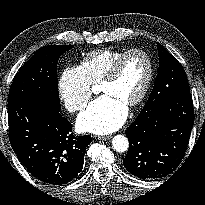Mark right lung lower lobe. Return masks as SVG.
I'll list each match as a JSON object with an SVG mask.
<instances>
[{
    "mask_svg": "<svg viewBox=\"0 0 205 205\" xmlns=\"http://www.w3.org/2000/svg\"><path fill=\"white\" fill-rule=\"evenodd\" d=\"M9 139L24 167L38 180L62 185L82 170L89 135L75 137L60 111L37 100L8 101Z\"/></svg>",
    "mask_w": 205,
    "mask_h": 205,
    "instance_id": "1",
    "label": "right lung lower lobe"
}]
</instances>
